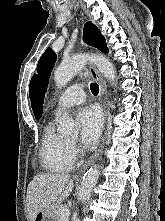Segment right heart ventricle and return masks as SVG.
<instances>
[{"label":"right heart ventricle","mask_w":165,"mask_h":221,"mask_svg":"<svg viewBox=\"0 0 165 221\" xmlns=\"http://www.w3.org/2000/svg\"><path fill=\"white\" fill-rule=\"evenodd\" d=\"M40 159L43 169L52 173L70 171L75 165L76 155L72 146L55 131L53 123L44 129Z\"/></svg>","instance_id":"e07e8e85"}]
</instances>
